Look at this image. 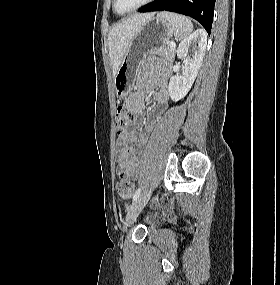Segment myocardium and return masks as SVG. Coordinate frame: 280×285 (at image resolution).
<instances>
[{"label":"myocardium","mask_w":280,"mask_h":285,"mask_svg":"<svg viewBox=\"0 0 280 285\" xmlns=\"http://www.w3.org/2000/svg\"><path fill=\"white\" fill-rule=\"evenodd\" d=\"M152 1L153 0H144L143 2L138 4L136 7L132 8L131 10H128V11H125V12H121V11L118 10V7H117L118 0H113V8H114L116 13H118L120 15H125V14H129V13H133V12L137 11L138 9L144 7L145 5L151 3Z\"/></svg>","instance_id":"1"}]
</instances>
